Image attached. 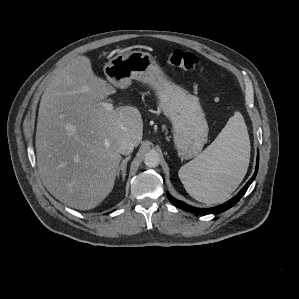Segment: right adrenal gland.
<instances>
[{
  "label": "right adrenal gland",
  "instance_id": "right-adrenal-gland-1",
  "mask_svg": "<svg viewBox=\"0 0 299 299\" xmlns=\"http://www.w3.org/2000/svg\"><path fill=\"white\" fill-rule=\"evenodd\" d=\"M131 156L126 157L125 159L122 160L121 165L119 166L117 170V177L119 178L120 174L122 175V181L125 180L126 176V167H127V162L130 160Z\"/></svg>",
  "mask_w": 299,
  "mask_h": 299
}]
</instances>
